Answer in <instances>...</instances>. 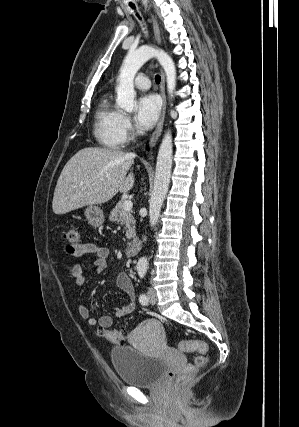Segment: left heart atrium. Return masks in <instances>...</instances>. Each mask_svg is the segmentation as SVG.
Wrapping results in <instances>:
<instances>
[{"instance_id": "left-heart-atrium-1", "label": "left heart atrium", "mask_w": 299, "mask_h": 427, "mask_svg": "<svg viewBox=\"0 0 299 427\" xmlns=\"http://www.w3.org/2000/svg\"><path fill=\"white\" fill-rule=\"evenodd\" d=\"M160 112V102L157 96L146 94L139 98L135 112V121L139 128L148 130L156 123Z\"/></svg>"}]
</instances>
